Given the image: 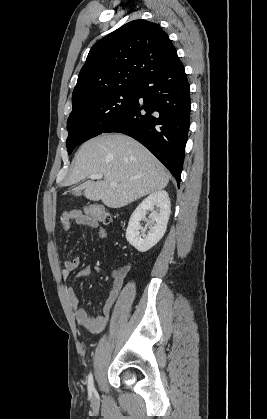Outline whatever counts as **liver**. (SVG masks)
Segmentation results:
<instances>
[{"instance_id": "liver-1", "label": "liver", "mask_w": 267, "mask_h": 419, "mask_svg": "<svg viewBox=\"0 0 267 419\" xmlns=\"http://www.w3.org/2000/svg\"><path fill=\"white\" fill-rule=\"evenodd\" d=\"M93 174L100 181H87L79 188L92 201L101 200L110 208H121L169 182L165 167L142 144L123 134H102L85 142L75 156V165L66 185ZM111 182L117 186L112 187Z\"/></svg>"}]
</instances>
